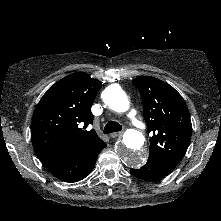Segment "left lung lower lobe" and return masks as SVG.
Masks as SVG:
<instances>
[{
	"mask_svg": "<svg viewBox=\"0 0 221 221\" xmlns=\"http://www.w3.org/2000/svg\"><path fill=\"white\" fill-rule=\"evenodd\" d=\"M130 173L146 181L158 180L169 174L152 159H148L147 163L140 169H130Z\"/></svg>",
	"mask_w": 221,
	"mask_h": 221,
	"instance_id": "left-lung-lower-lobe-1",
	"label": "left lung lower lobe"
}]
</instances>
